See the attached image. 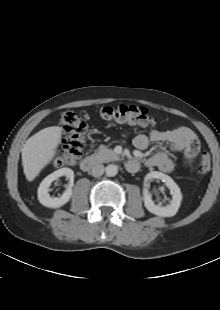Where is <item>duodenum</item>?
<instances>
[{
	"instance_id": "duodenum-1",
	"label": "duodenum",
	"mask_w": 220,
	"mask_h": 310,
	"mask_svg": "<svg viewBox=\"0 0 220 310\" xmlns=\"http://www.w3.org/2000/svg\"><path fill=\"white\" fill-rule=\"evenodd\" d=\"M98 164H99V160L96 157L89 156L81 160L80 168L84 172H90L94 168H96ZM126 167L130 172H135L139 168V162L137 160H129L126 163Z\"/></svg>"
}]
</instances>
